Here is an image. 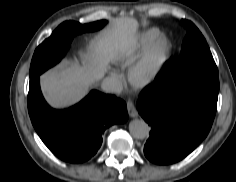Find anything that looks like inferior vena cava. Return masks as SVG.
Returning <instances> with one entry per match:
<instances>
[{
	"label": "inferior vena cava",
	"instance_id": "602c4592",
	"mask_svg": "<svg viewBox=\"0 0 236 182\" xmlns=\"http://www.w3.org/2000/svg\"><path fill=\"white\" fill-rule=\"evenodd\" d=\"M101 88L107 93L120 94L122 92L121 82L114 77H106L101 83Z\"/></svg>",
	"mask_w": 236,
	"mask_h": 182
}]
</instances>
